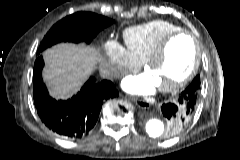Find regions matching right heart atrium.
Returning <instances> with one entry per match:
<instances>
[{"instance_id":"d8ad5b80","label":"right heart atrium","mask_w":240,"mask_h":160,"mask_svg":"<svg viewBox=\"0 0 240 160\" xmlns=\"http://www.w3.org/2000/svg\"><path fill=\"white\" fill-rule=\"evenodd\" d=\"M105 74L109 78L120 75L123 71L138 66L126 49L115 41H107L104 45Z\"/></svg>"}]
</instances>
